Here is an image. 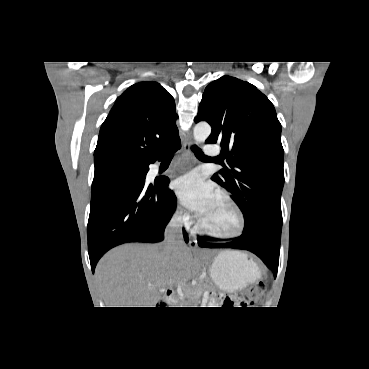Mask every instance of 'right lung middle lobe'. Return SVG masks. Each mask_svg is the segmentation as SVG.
<instances>
[{
    "label": "right lung middle lobe",
    "mask_w": 369,
    "mask_h": 369,
    "mask_svg": "<svg viewBox=\"0 0 369 369\" xmlns=\"http://www.w3.org/2000/svg\"><path fill=\"white\" fill-rule=\"evenodd\" d=\"M139 166V163L113 161L95 165L94 179L92 183V191L98 189L106 181L119 173L128 171Z\"/></svg>",
    "instance_id": "right-lung-middle-lobe-1"
}]
</instances>
